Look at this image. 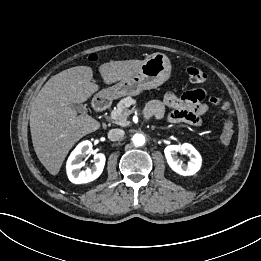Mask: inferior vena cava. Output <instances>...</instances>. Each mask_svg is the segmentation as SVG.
<instances>
[{"label":"inferior vena cava","mask_w":261,"mask_h":261,"mask_svg":"<svg viewBox=\"0 0 261 261\" xmlns=\"http://www.w3.org/2000/svg\"><path fill=\"white\" fill-rule=\"evenodd\" d=\"M125 132L122 129H111L108 132V138L111 141H118L124 137Z\"/></svg>","instance_id":"602c4592"}]
</instances>
